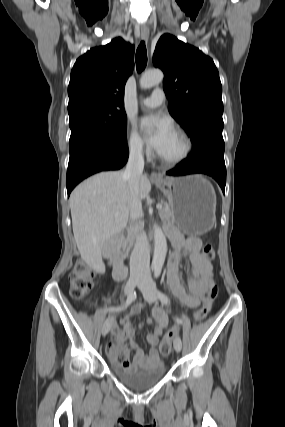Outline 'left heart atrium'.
I'll use <instances>...</instances> for the list:
<instances>
[{
  "label": "left heart atrium",
  "mask_w": 285,
  "mask_h": 427,
  "mask_svg": "<svg viewBox=\"0 0 285 427\" xmlns=\"http://www.w3.org/2000/svg\"><path fill=\"white\" fill-rule=\"evenodd\" d=\"M140 128L147 142L158 152L173 132L170 122L158 116H146L140 120Z\"/></svg>",
  "instance_id": "left-heart-atrium-1"
}]
</instances>
